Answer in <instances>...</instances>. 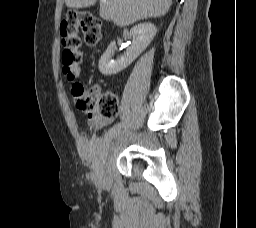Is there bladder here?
<instances>
[{
	"instance_id": "bladder-1",
	"label": "bladder",
	"mask_w": 256,
	"mask_h": 228,
	"mask_svg": "<svg viewBox=\"0 0 256 228\" xmlns=\"http://www.w3.org/2000/svg\"><path fill=\"white\" fill-rule=\"evenodd\" d=\"M130 144L129 138L110 130L106 135L88 142L87 154L93 168L101 172Z\"/></svg>"
}]
</instances>
